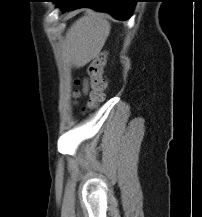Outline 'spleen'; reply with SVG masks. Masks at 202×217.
I'll return each instance as SVG.
<instances>
[{
	"label": "spleen",
	"instance_id": "3e777b00",
	"mask_svg": "<svg viewBox=\"0 0 202 217\" xmlns=\"http://www.w3.org/2000/svg\"><path fill=\"white\" fill-rule=\"evenodd\" d=\"M109 33V21L102 14L92 12L70 27L65 43L74 58H89L102 49Z\"/></svg>",
	"mask_w": 202,
	"mask_h": 217
}]
</instances>
